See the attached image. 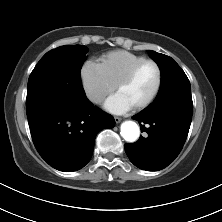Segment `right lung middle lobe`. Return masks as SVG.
Returning <instances> with one entry per match:
<instances>
[{
    "label": "right lung middle lobe",
    "mask_w": 222,
    "mask_h": 222,
    "mask_svg": "<svg viewBox=\"0 0 222 222\" xmlns=\"http://www.w3.org/2000/svg\"><path fill=\"white\" fill-rule=\"evenodd\" d=\"M88 48L66 45L47 52L32 71L27 86V109L39 105L76 106L86 99L80 70Z\"/></svg>",
    "instance_id": "dd1d6c3e"
}]
</instances>
